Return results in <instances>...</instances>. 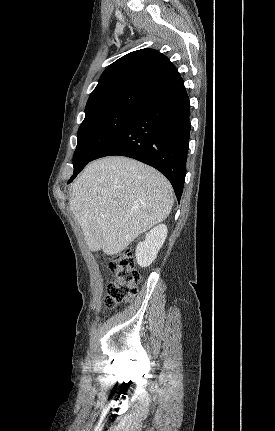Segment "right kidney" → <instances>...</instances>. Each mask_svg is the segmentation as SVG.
I'll use <instances>...</instances> for the list:
<instances>
[{
    "instance_id": "ca27d5eb",
    "label": "right kidney",
    "mask_w": 275,
    "mask_h": 431,
    "mask_svg": "<svg viewBox=\"0 0 275 431\" xmlns=\"http://www.w3.org/2000/svg\"><path fill=\"white\" fill-rule=\"evenodd\" d=\"M167 227L160 224L148 233L143 242H139L136 248V260L140 267H147L156 259L157 254L167 237Z\"/></svg>"
}]
</instances>
